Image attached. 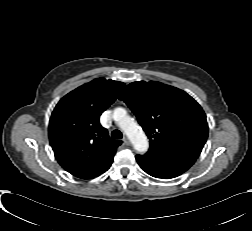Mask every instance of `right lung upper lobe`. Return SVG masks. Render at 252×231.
Returning a JSON list of instances; mask_svg holds the SVG:
<instances>
[{
    "label": "right lung upper lobe",
    "instance_id": "right-lung-upper-lobe-1",
    "mask_svg": "<svg viewBox=\"0 0 252 231\" xmlns=\"http://www.w3.org/2000/svg\"><path fill=\"white\" fill-rule=\"evenodd\" d=\"M124 83L94 79L64 96L49 122V141L59 164L72 175L91 179L107 171L122 141L113 140L99 117Z\"/></svg>",
    "mask_w": 252,
    "mask_h": 231
}]
</instances>
